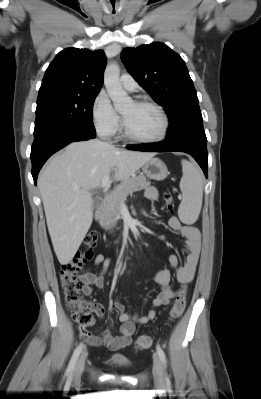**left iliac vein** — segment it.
Segmentation results:
<instances>
[{
    "label": "left iliac vein",
    "mask_w": 261,
    "mask_h": 399,
    "mask_svg": "<svg viewBox=\"0 0 261 399\" xmlns=\"http://www.w3.org/2000/svg\"><path fill=\"white\" fill-rule=\"evenodd\" d=\"M153 377L156 382H161L163 380V369L161 365V361L157 355L153 357Z\"/></svg>",
    "instance_id": "obj_1"
}]
</instances>
